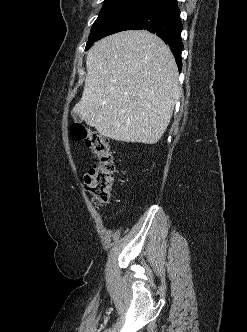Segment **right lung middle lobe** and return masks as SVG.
Wrapping results in <instances>:
<instances>
[{
    "mask_svg": "<svg viewBox=\"0 0 247 332\" xmlns=\"http://www.w3.org/2000/svg\"><path fill=\"white\" fill-rule=\"evenodd\" d=\"M146 2V0H105L100 14L91 28L85 50L100 39V35L109 25Z\"/></svg>",
    "mask_w": 247,
    "mask_h": 332,
    "instance_id": "right-lung-middle-lobe-1",
    "label": "right lung middle lobe"
}]
</instances>
